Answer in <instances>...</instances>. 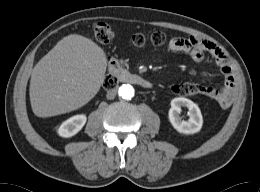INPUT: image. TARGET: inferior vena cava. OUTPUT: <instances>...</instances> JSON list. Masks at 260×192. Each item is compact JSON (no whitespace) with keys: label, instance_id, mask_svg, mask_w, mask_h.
I'll return each instance as SVG.
<instances>
[{"label":"inferior vena cava","instance_id":"inferior-vena-cava-1","mask_svg":"<svg viewBox=\"0 0 260 192\" xmlns=\"http://www.w3.org/2000/svg\"><path fill=\"white\" fill-rule=\"evenodd\" d=\"M116 96V90L112 89L110 91L107 92V99L111 100V99H114Z\"/></svg>","mask_w":260,"mask_h":192}]
</instances>
